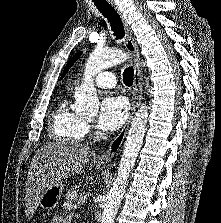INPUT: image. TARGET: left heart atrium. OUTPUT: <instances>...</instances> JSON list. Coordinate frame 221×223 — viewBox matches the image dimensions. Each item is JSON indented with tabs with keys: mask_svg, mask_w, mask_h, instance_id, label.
<instances>
[{
	"mask_svg": "<svg viewBox=\"0 0 221 223\" xmlns=\"http://www.w3.org/2000/svg\"><path fill=\"white\" fill-rule=\"evenodd\" d=\"M128 103L122 96H107L101 102L98 126L104 131L119 129L127 119Z\"/></svg>",
	"mask_w": 221,
	"mask_h": 223,
	"instance_id": "left-heart-atrium-1",
	"label": "left heart atrium"
}]
</instances>
